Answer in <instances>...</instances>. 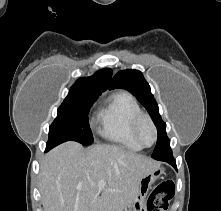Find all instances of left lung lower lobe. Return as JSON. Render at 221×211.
<instances>
[{
	"label": "left lung lower lobe",
	"mask_w": 221,
	"mask_h": 211,
	"mask_svg": "<svg viewBox=\"0 0 221 211\" xmlns=\"http://www.w3.org/2000/svg\"><path fill=\"white\" fill-rule=\"evenodd\" d=\"M161 161L168 162L169 164H171L172 166H174L176 168V162H175V159L173 158V156L162 158Z\"/></svg>",
	"instance_id": "obj_1"
}]
</instances>
